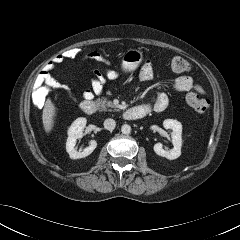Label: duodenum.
I'll return each mask as SVG.
<instances>
[{
    "label": "duodenum",
    "mask_w": 240,
    "mask_h": 240,
    "mask_svg": "<svg viewBox=\"0 0 240 240\" xmlns=\"http://www.w3.org/2000/svg\"><path fill=\"white\" fill-rule=\"evenodd\" d=\"M80 107L84 113L89 115L93 114L96 110L95 103L90 99L83 100ZM122 115L126 120H139L147 115V110L140 106L131 107L124 110Z\"/></svg>",
    "instance_id": "obj_1"
}]
</instances>
